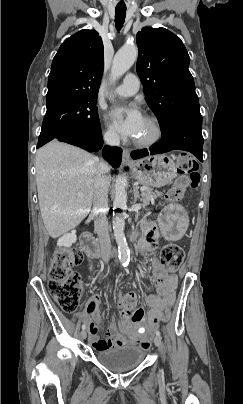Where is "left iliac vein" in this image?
Instances as JSON below:
<instances>
[{
    "label": "left iliac vein",
    "instance_id": "1",
    "mask_svg": "<svg viewBox=\"0 0 243 404\" xmlns=\"http://www.w3.org/2000/svg\"><path fill=\"white\" fill-rule=\"evenodd\" d=\"M154 343H155V345H156L157 347H160V346H161V337L156 335V336L154 337Z\"/></svg>",
    "mask_w": 243,
    "mask_h": 404
}]
</instances>
